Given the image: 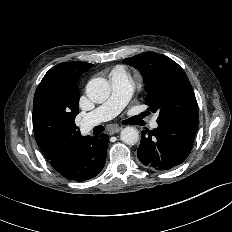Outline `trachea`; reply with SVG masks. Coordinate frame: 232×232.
Instances as JSON below:
<instances>
[{"label":"trachea","instance_id":"3493384b","mask_svg":"<svg viewBox=\"0 0 232 232\" xmlns=\"http://www.w3.org/2000/svg\"><path fill=\"white\" fill-rule=\"evenodd\" d=\"M123 124H126V121L123 122ZM104 131V127L99 125L94 128V133L95 134H100Z\"/></svg>","mask_w":232,"mask_h":232}]
</instances>
